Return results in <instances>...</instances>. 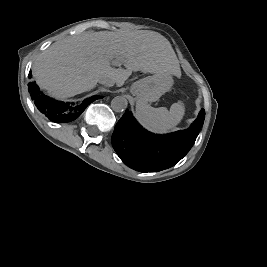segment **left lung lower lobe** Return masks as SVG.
<instances>
[{
    "label": "left lung lower lobe",
    "instance_id": "1",
    "mask_svg": "<svg viewBox=\"0 0 267 267\" xmlns=\"http://www.w3.org/2000/svg\"><path fill=\"white\" fill-rule=\"evenodd\" d=\"M204 118L205 112L201 110L189 129L163 136L143 129L126 110L114 128L112 145L130 168L140 172L161 171L175 165L188 153Z\"/></svg>",
    "mask_w": 267,
    "mask_h": 267
}]
</instances>
